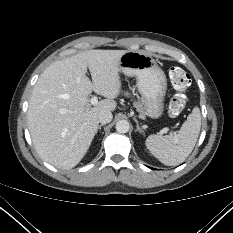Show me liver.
I'll list each match as a JSON object with an SVG mask.
<instances>
[{"label":"liver","mask_w":233,"mask_h":233,"mask_svg":"<svg viewBox=\"0 0 233 233\" xmlns=\"http://www.w3.org/2000/svg\"><path fill=\"white\" fill-rule=\"evenodd\" d=\"M126 52L89 50L55 61L44 70L33 88L27 114L33 144L44 161L71 169L82 160L97 133L99 113L116 109L119 61ZM92 91L106 99L91 107Z\"/></svg>","instance_id":"liver-1"}]
</instances>
